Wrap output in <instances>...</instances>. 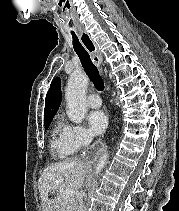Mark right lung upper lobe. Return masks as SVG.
<instances>
[{
  "instance_id": "1",
  "label": "right lung upper lobe",
  "mask_w": 179,
  "mask_h": 211,
  "mask_svg": "<svg viewBox=\"0 0 179 211\" xmlns=\"http://www.w3.org/2000/svg\"><path fill=\"white\" fill-rule=\"evenodd\" d=\"M61 104V80L55 78L46 95L44 119L54 117Z\"/></svg>"
}]
</instances>
